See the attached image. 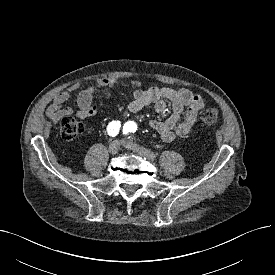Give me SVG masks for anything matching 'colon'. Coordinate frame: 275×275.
Masks as SVG:
<instances>
[{"instance_id":"5ec220e1","label":"colon","mask_w":275,"mask_h":275,"mask_svg":"<svg viewBox=\"0 0 275 275\" xmlns=\"http://www.w3.org/2000/svg\"><path fill=\"white\" fill-rule=\"evenodd\" d=\"M200 119L206 126H213L219 121V112L215 108H205L200 113ZM82 132V125L71 116H66L60 124L61 136L66 140H72Z\"/></svg>"}]
</instances>
